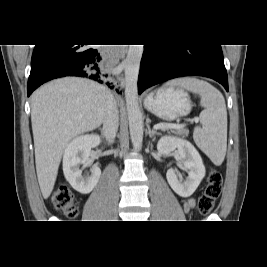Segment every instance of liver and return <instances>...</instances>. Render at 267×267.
I'll list each match as a JSON object with an SVG mask.
<instances>
[{
  "instance_id": "obj_1",
  "label": "liver",
  "mask_w": 267,
  "mask_h": 267,
  "mask_svg": "<svg viewBox=\"0 0 267 267\" xmlns=\"http://www.w3.org/2000/svg\"><path fill=\"white\" fill-rule=\"evenodd\" d=\"M110 94L106 87L76 77L51 81L32 94L35 164L44 199L54 188L62 154L69 142L104 122Z\"/></svg>"
}]
</instances>
